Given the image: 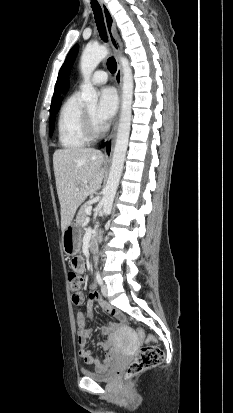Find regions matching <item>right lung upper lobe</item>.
<instances>
[{"label": "right lung upper lobe", "mask_w": 233, "mask_h": 413, "mask_svg": "<svg viewBox=\"0 0 233 413\" xmlns=\"http://www.w3.org/2000/svg\"><path fill=\"white\" fill-rule=\"evenodd\" d=\"M68 88H69V82H67V83L65 84L64 89H63V93H66V92L68 91ZM58 105H60V101L57 102V104H56L55 107H57ZM51 109H52V107L50 108V110H51Z\"/></svg>", "instance_id": "cb5924a9"}]
</instances>
